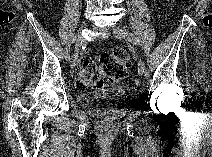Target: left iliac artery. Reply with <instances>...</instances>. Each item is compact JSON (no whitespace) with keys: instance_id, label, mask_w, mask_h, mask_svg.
<instances>
[{"instance_id":"44dca946","label":"left iliac artery","mask_w":212,"mask_h":157,"mask_svg":"<svg viewBox=\"0 0 212 157\" xmlns=\"http://www.w3.org/2000/svg\"><path fill=\"white\" fill-rule=\"evenodd\" d=\"M128 41H131L135 45H139L138 39L135 38L133 35L127 39ZM145 77H150V71L146 68L145 69Z\"/></svg>"}]
</instances>
